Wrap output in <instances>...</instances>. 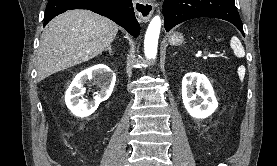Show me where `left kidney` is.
I'll return each mask as SVG.
<instances>
[{"label":"left kidney","instance_id":"1","mask_svg":"<svg viewBox=\"0 0 277 166\" xmlns=\"http://www.w3.org/2000/svg\"><path fill=\"white\" fill-rule=\"evenodd\" d=\"M194 87L197 88L196 93ZM182 100L187 112L197 119L207 118L218 107L211 83L205 75L196 72L183 77Z\"/></svg>","mask_w":277,"mask_h":166}]
</instances>
